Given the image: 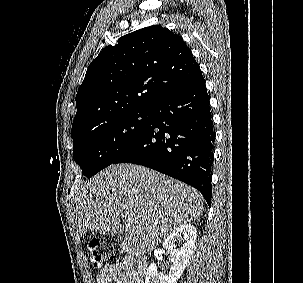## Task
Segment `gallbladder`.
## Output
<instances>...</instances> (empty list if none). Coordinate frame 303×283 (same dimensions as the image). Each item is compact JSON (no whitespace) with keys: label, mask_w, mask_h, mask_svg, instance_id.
<instances>
[{"label":"gallbladder","mask_w":303,"mask_h":283,"mask_svg":"<svg viewBox=\"0 0 303 283\" xmlns=\"http://www.w3.org/2000/svg\"><path fill=\"white\" fill-rule=\"evenodd\" d=\"M122 234H123V233H122V230L117 231V232L114 234L115 240H116V241L120 240L121 237H122Z\"/></svg>","instance_id":"obj_1"}]
</instances>
